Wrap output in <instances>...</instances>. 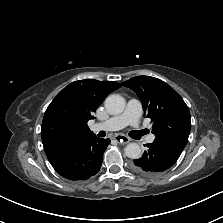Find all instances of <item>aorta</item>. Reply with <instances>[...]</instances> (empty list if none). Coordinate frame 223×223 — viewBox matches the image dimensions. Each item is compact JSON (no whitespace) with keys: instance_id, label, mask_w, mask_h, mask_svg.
Returning a JSON list of instances; mask_svg holds the SVG:
<instances>
[{"instance_id":"762f6f07","label":"aorta","mask_w":223,"mask_h":223,"mask_svg":"<svg viewBox=\"0 0 223 223\" xmlns=\"http://www.w3.org/2000/svg\"><path fill=\"white\" fill-rule=\"evenodd\" d=\"M125 99L119 94L109 95L105 100V108L110 114H120L125 109ZM128 158L138 159L141 157V148L137 143H130L125 148Z\"/></svg>"}]
</instances>
